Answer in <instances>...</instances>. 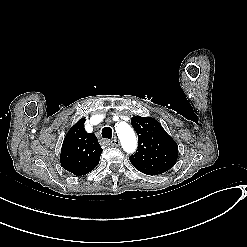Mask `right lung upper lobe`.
I'll list each match as a JSON object with an SVG mask.
<instances>
[{
	"instance_id": "right-lung-upper-lobe-1",
	"label": "right lung upper lobe",
	"mask_w": 247,
	"mask_h": 247,
	"mask_svg": "<svg viewBox=\"0 0 247 247\" xmlns=\"http://www.w3.org/2000/svg\"><path fill=\"white\" fill-rule=\"evenodd\" d=\"M84 123L81 119L68 131L60 154L62 167L77 176L92 171L103 151L95 135L85 131Z\"/></svg>"
}]
</instances>
